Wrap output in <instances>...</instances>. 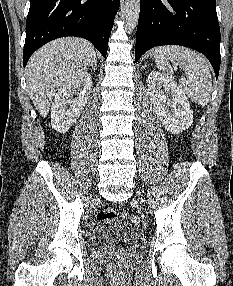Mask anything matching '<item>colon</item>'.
Wrapping results in <instances>:
<instances>
[{
    "label": "colon",
    "instance_id": "5ec220e1",
    "mask_svg": "<svg viewBox=\"0 0 233 286\" xmlns=\"http://www.w3.org/2000/svg\"><path fill=\"white\" fill-rule=\"evenodd\" d=\"M124 216L128 217V214L125 213ZM117 217L116 211L111 207H104L99 213H98V219L99 220H108V219H115Z\"/></svg>",
    "mask_w": 233,
    "mask_h": 286
}]
</instances>
